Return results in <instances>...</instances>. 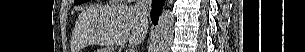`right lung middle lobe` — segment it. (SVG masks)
<instances>
[{"mask_svg": "<svg viewBox=\"0 0 305 52\" xmlns=\"http://www.w3.org/2000/svg\"><path fill=\"white\" fill-rule=\"evenodd\" d=\"M87 1H89V0H77L74 3L75 4H81V3H84V2H87Z\"/></svg>", "mask_w": 305, "mask_h": 52, "instance_id": "right-lung-middle-lobe-1", "label": "right lung middle lobe"}]
</instances>
